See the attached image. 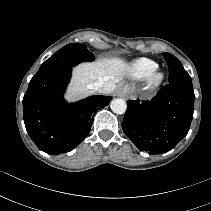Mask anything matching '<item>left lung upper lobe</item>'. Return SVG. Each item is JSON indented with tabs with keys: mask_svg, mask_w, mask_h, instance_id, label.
<instances>
[{
	"mask_svg": "<svg viewBox=\"0 0 211 211\" xmlns=\"http://www.w3.org/2000/svg\"><path fill=\"white\" fill-rule=\"evenodd\" d=\"M163 55L169 68V83H186L192 85L191 78L183 68L181 62L169 53H164Z\"/></svg>",
	"mask_w": 211,
	"mask_h": 211,
	"instance_id": "obj_1",
	"label": "left lung upper lobe"
}]
</instances>
